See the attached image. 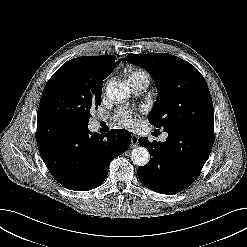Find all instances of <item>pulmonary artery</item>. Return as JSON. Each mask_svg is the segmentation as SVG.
<instances>
[{
  "label": "pulmonary artery",
  "mask_w": 247,
  "mask_h": 247,
  "mask_svg": "<svg viewBox=\"0 0 247 247\" xmlns=\"http://www.w3.org/2000/svg\"><path fill=\"white\" fill-rule=\"evenodd\" d=\"M132 92L135 95L142 94L150 84V78L148 75H140L129 80ZM167 136L163 135L162 139Z\"/></svg>",
  "instance_id": "1"
}]
</instances>
